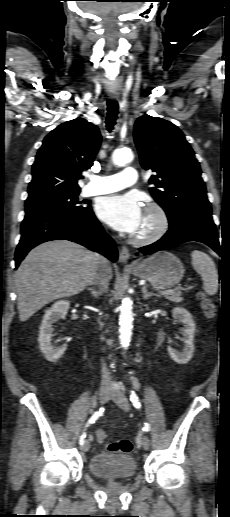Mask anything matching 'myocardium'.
<instances>
[{"label": "myocardium", "mask_w": 230, "mask_h": 517, "mask_svg": "<svg viewBox=\"0 0 230 517\" xmlns=\"http://www.w3.org/2000/svg\"><path fill=\"white\" fill-rule=\"evenodd\" d=\"M145 211L152 213L155 218V225L151 231L145 234L131 237L134 244L148 245L161 239L168 231L170 226L169 216L162 205L155 201H150L145 206Z\"/></svg>", "instance_id": "f54148a6"}]
</instances>
